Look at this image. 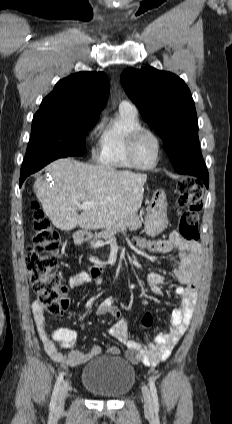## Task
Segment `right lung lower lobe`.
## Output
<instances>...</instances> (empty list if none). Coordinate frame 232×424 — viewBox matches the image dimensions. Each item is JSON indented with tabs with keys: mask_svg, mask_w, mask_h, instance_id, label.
I'll return each instance as SVG.
<instances>
[{
	"mask_svg": "<svg viewBox=\"0 0 232 424\" xmlns=\"http://www.w3.org/2000/svg\"><path fill=\"white\" fill-rule=\"evenodd\" d=\"M65 157H68V156L55 155V156H50V157H44V158H41V159L34 161L33 163H31L30 165H28L26 167H22L21 168V175H20V186L22 185V183L24 182L26 177L29 176L30 174L42 169L44 166H46L47 164H49L50 162H52V161H54L58 158H65Z\"/></svg>",
	"mask_w": 232,
	"mask_h": 424,
	"instance_id": "98d812e1",
	"label": "right lung lower lobe"
}]
</instances>
